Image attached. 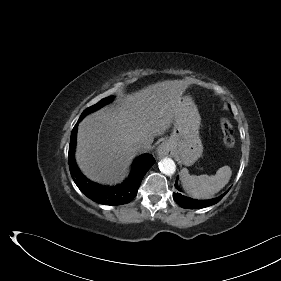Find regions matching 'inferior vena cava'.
Segmentation results:
<instances>
[{
  "instance_id": "1",
  "label": "inferior vena cava",
  "mask_w": 281,
  "mask_h": 281,
  "mask_svg": "<svg viewBox=\"0 0 281 281\" xmlns=\"http://www.w3.org/2000/svg\"><path fill=\"white\" fill-rule=\"evenodd\" d=\"M136 148H137L138 152L144 153V152H147L148 150H150L151 145L148 142H143V143L138 144Z\"/></svg>"
}]
</instances>
